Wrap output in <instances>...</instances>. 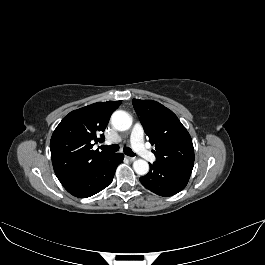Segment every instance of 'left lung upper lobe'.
I'll use <instances>...</instances> for the list:
<instances>
[{"instance_id": "1", "label": "left lung upper lobe", "mask_w": 265, "mask_h": 265, "mask_svg": "<svg viewBox=\"0 0 265 265\" xmlns=\"http://www.w3.org/2000/svg\"><path fill=\"white\" fill-rule=\"evenodd\" d=\"M134 109L144 131L156 145L155 164L181 165L194 163V148L190 134L177 116L153 100L133 99Z\"/></svg>"}]
</instances>
